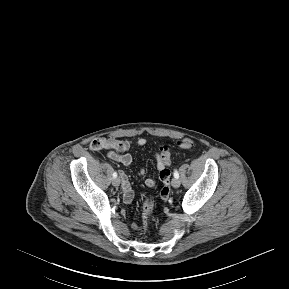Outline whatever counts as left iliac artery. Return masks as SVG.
I'll list each match as a JSON object with an SVG mask.
<instances>
[{"label":"left iliac artery","instance_id":"left-iliac-artery-1","mask_svg":"<svg viewBox=\"0 0 289 289\" xmlns=\"http://www.w3.org/2000/svg\"><path fill=\"white\" fill-rule=\"evenodd\" d=\"M174 177H175V178H179V173H178L177 170H174Z\"/></svg>","mask_w":289,"mask_h":289}]
</instances>
